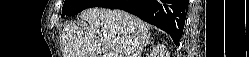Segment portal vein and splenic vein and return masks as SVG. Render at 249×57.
Instances as JSON below:
<instances>
[{"label":"portal vein and splenic vein","mask_w":249,"mask_h":57,"mask_svg":"<svg viewBox=\"0 0 249 57\" xmlns=\"http://www.w3.org/2000/svg\"><path fill=\"white\" fill-rule=\"evenodd\" d=\"M104 57H111V55H103Z\"/></svg>","instance_id":"1"}]
</instances>
